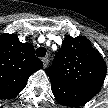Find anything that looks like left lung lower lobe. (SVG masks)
Returning a JSON list of instances; mask_svg holds the SVG:
<instances>
[{"instance_id":"left-lung-lower-lobe-1","label":"left lung lower lobe","mask_w":108,"mask_h":108,"mask_svg":"<svg viewBox=\"0 0 108 108\" xmlns=\"http://www.w3.org/2000/svg\"><path fill=\"white\" fill-rule=\"evenodd\" d=\"M51 88L57 102L69 107L84 105L99 91L93 88L73 86L64 82H51Z\"/></svg>"}]
</instances>
